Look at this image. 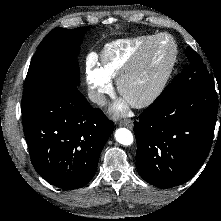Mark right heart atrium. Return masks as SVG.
<instances>
[{
	"label": "right heart atrium",
	"mask_w": 221,
	"mask_h": 221,
	"mask_svg": "<svg viewBox=\"0 0 221 221\" xmlns=\"http://www.w3.org/2000/svg\"><path fill=\"white\" fill-rule=\"evenodd\" d=\"M86 82L91 100L97 105H104L107 95L112 93L111 80L96 65L93 57H89L85 68Z\"/></svg>",
	"instance_id": "right-heart-atrium-1"
}]
</instances>
